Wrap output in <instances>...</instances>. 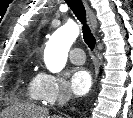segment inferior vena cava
Wrapping results in <instances>:
<instances>
[{
  "label": "inferior vena cava",
  "mask_w": 133,
  "mask_h": 118,
  "mask_svg": "<svg viewBox=\"0 0 133 118\" xmlns=\"http://www.w3.org/2000/svg\"><path fill=\"white\" fill-rule=\"evenodd\" d=\"M70 97V91L68 89H62L58 95V106L60 107L66 104L70 100Z\"/></svg>",
  "instance_id": "602c4592"
}]
</instances>
